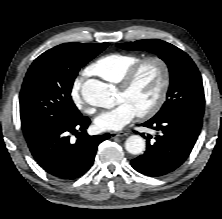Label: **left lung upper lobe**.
Masks as SVG:
<instances>
[{"instance_id":"left-lung-upper-lobe-1","label":"left lung upper lobe","mask_w":222,"mask_h":219,"mask_svg":"<svg viewBox=\"0 0 222 219\" xmlns=\"http://www.w3.org/2000/svg\"><path fill=\"white\" fill-rule=\"evenodd\" d=\"M125 50H143L157 54L168 65L170 87L167 100L153 117L183 112L202 118L205 106L201 75L192 59L181 49L159 39L119 43Z\"/></svg>"}]
</instances>
